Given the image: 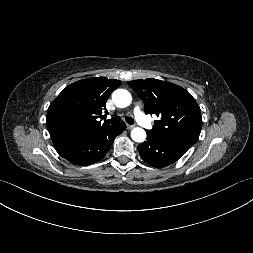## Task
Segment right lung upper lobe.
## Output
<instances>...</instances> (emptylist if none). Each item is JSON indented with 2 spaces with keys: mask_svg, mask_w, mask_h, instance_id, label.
<instances>
[{
  "mask_svg": "<svg viewBox=\"0 0 253 253\" xmlns=\"http://www.w3.org/2000/svg\"><path fill=\"white\" fill-rule=\"evenodd\" d=\"M121 81L97 77L65 87L50 104L46 124L54 147L93 134L112 125L101 124L108 96Z\"/></svg>",
  "mask_w": 253,
  "mask_h": 253,
  "instance_id": "right-lung-upper-lobe-1",
  "label": "right lung upper lobe"
}]
</instances>
